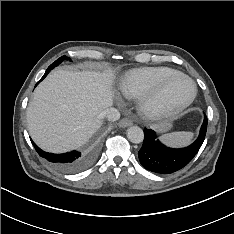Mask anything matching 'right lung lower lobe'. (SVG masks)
I'll return each instance as SVG.
<instances>
[{"label":"right lung lower lobe","mask_w":234,"mask_h":234,"mask_svg":"<svg viewBox=\"0 0 234 234\" xmlns=\"http://www.w3.org/2000/svg\"><path fill=\"white\" fill-rule=\"evenodd\" d=\"M51 69H52L51 66H49L40 81H42L47 76V74L50 72ZM32 144L35 147L37 153L41 157L51 162L57 169L67 173H76L85 169L93 161L95 155V151L93 148L84 154H81L80 152L77 151H72L62 154H53L41 150L33 142Z\"/></svg>","instance_id":"right-lung-lower-lobe-1"}]
</instances>
